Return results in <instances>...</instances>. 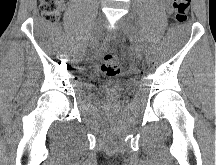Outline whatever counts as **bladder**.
Masks as SVG:
<instances>
[{"instance_id": "obj_1", "label": "bladder", "mask_w": 216, "mask_h": 165, "mask_svg": "<svg viewBox=\"0 0 216 165\" xmlns=\"http://www.w3.org/2000/svg\"><path fill=\"white\" fill-rule=\"evenodd\" d=\"M100 81H104V86H116V81H108V76H100ZM102 97H121V92L118 89H104L101 93Z\"/></svg>"}]
</instances>
